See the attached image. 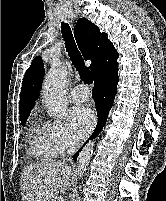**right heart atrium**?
Masks as SVG:
<instances>
[{
    "mask_svg": "<svg viewBox=\"0 0 166 201\" xmlns=\"http://www.w3.org/2000/svg\"><path fill=\"white\" fill-rule=\"evenodd\" d=\"M47 130L50 141L58 153H63L75 146L68 127L60 120H54L47 123Z\"/></svg>",
    "mask_w": 166,
    "mask_h": 201,
    "instance_id": "right-heart-atrium-1",
    "label": "right heart atrium"
}]
</instances>
